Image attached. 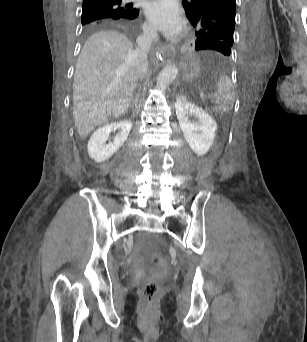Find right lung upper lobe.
Listing matches in <instances>:
<instances>
[{"instance_id":"obj_1","label":"right lung upper lobe","mask_w":307,"mask_h":342,"mask_svg":"<svg viewBox=\"0 0 307 342\" xmlns=\"http://www.w3.org/2000/svg\"><path fill=\"white\" fill-rule=\"evenodd\" d=\"M82 8L83 10L106 9L114 12L111 16L83 24L82 30L85 33L103 27L131 29L139 14L138 9L125 5L122 0H84Z\"/></svg>"}]
</instances>
